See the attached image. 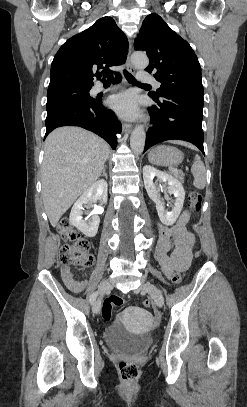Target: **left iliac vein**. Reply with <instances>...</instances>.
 Masks as SVG:
<instances>
[{
	"label": "left iliac vein",
	"mask_w": 247,
	"mask_h": 407,
	"mask_svg": "<svg viewBox=\"0 0 247 407\" xmlns=\"http://www.w3.org/2000/svg\"><path fill=\"white\" fill-rule=\"evenodd\" d=\"M140 290L143 293H149L152 296V298L154 299V302L158 307L163 306V304H164L163 295H162L161 291L154 284H152L150 282L142 283L140 286Z\"/></svg>",
	"instance_id": "left-iliac-vein-1"
}]
</instances>
